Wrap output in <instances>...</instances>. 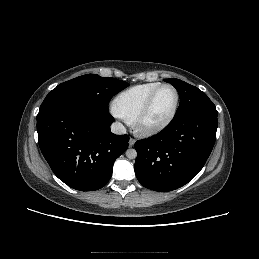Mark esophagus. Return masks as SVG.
Wrapping results in <instances>:
<instances>
[{
	"instance_id": "obj_1",
	"label": "esophagus",
	"mask_w": 259,
	"mask_h": 259,
	"mask_svg": "<svg viewBox=\"0 0 259 259\" xmlns=\"http://www.w3.org/2000/svg\"><path fill=\"white\" fill-rule=\"evenodd\" d=\"M134 144H135V139L130 138L129 139V146L132 147V146H134Z\"/></svg>"
}]
</instances>
